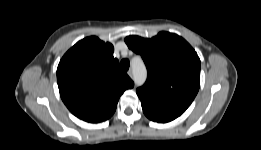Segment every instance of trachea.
<instances>
[{
  "mask_svg": "<svg viewBox=\"0 0 261 150\" xmlns=\"http://www.w3.org/2000/svg\"><path fill=\"white\" fill-rule=\"evenodd\" d=\"M120 65H121L123 70L127 71L129 69L130 62H129L128 59H122L121 62H120Z\"/></svg>",
  "mask_w": 261,
  "mask_h": 150,
  "instance_id": "trachea-1",
  "label": "trachea"
}]
</instances>
